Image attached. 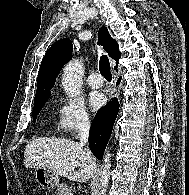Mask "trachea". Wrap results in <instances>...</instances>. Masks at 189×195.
<instances>
[{
	"label": "trachea",
	"mask_w": 189,
	"mask_h": 195,
	"mask_svg": "<svg viewBox=\"0 0 189 195\" xmlns=\"http://www.w3.org/2000/svg\"><path fill=\"white\" fill-rule=\"evenodd\" d=\"M99 70L102 76L107 80L110 81L112 79L110 62L106 55H102L99 61Z\"/></svg>",
	"instance_id": "1"
}]
</instances>
